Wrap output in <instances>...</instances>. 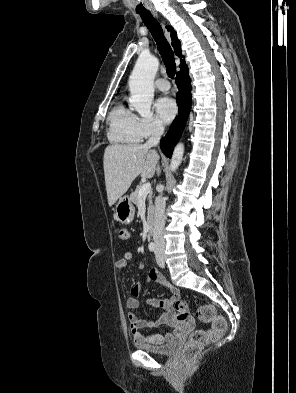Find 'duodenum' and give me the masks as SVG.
<instances>
[{
	"label": "duodenum",
	"mask_w": 296,
	"mask_h": 393,
	"mask_svg": "<svg viewBox=\"0 0 296 393\" xmlns=\"http://www.w3.org/2000/svg\"><path fill=\"white\" fill-rule=\"evenodd\" d=\"M153 232H154L153 225L150 224V225H149V229H148V235H149V236H152V235H153Z\"/></svg>",
	"instance_id": "obj_1"
}]
</instances>
